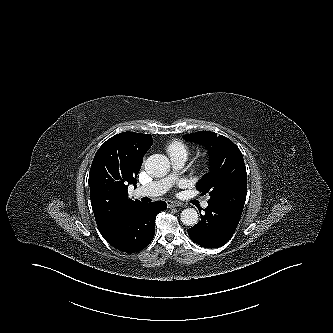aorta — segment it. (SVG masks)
Wrapping results in <instances>:
<instances>
[{
    "instance_id": "obj_1",
    "label": "aorta",
    "mask_w": 333,
    "mask_h": 333,
    "mask_svg": "<svg viewBox=\"0 0 333 333\" xmlns=\"http://www.w3.org/2000/svg\"><path fill=\"white\" fill-rule=\"evenodd\" d=\"M146 172L153 177H164L170 170L169 159L162 154H154L145 161ZM180 219L186 226H194L198 222V213L193 208H186L181 212Z\"/></svg>"
}]
</instances>
